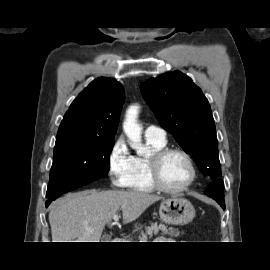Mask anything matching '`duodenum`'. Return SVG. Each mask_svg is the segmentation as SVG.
<instances>
[{
	"instance_id": "obj_1",
	"label": "duodenum",
	"mask_w": 270,
	"mask_h": 270,
	"mask_svg": "<svg viewBox=\"0 0 270 270\" xmlns=\"http://www.w3.org/2000/svg\"><path fill=\"white\" fill-rule=\"evenodd\" d=\"M117 241H118V239H116V238L112 239V242H117Z\"/></svg>"
}]
</instances>
